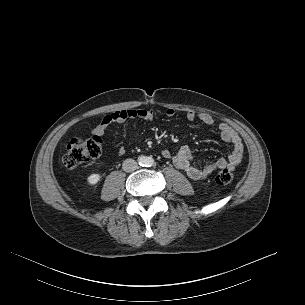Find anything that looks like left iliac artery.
<instances>
[{"label":"left iliac artery","mask_w":305,"mask_h":305,"mask_svg":"<svg viewBox=\"0 0 305 305\" xmlns=\"http://www.w3.org/2000/svg\"><path fill=\"white\" fill-rule=\"evenodd\" d=\"M147 163H148V166H149V167L155 165V161H154L152 158H149L148 161H147Z\"/></svg>","instance_id":"obj_1"}]
</instances>
